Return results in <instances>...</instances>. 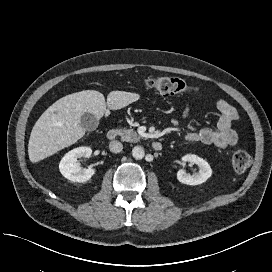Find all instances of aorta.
<instances>
[{
    "instance_id": "762f6f07",
    "label": "aorta",
    "mask_w": 272,
    "mask_h": 272,
    "mask_svg": "<svg viewBox=\"0 0 272 272\" xmlns=\"http://www.w3.org/2000/svg\"><path fill=\"white\" fill-rule=\"evenodd\" d=\"M145 155V151L141 146H135L132 149V156L133 158H135L136 160H140L144 157Z\"/></svg>"
}]
</instances>
